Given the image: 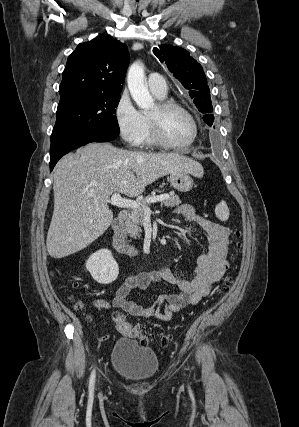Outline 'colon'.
I'll use <instances>...</instances> for the list:
<instances>
[{
  "mask_svg": "<svg viewBox=\"0 0 299 427\" xmlns=\"http://www.w3.org/2000/svg\"><path fill=\"white\" fill-rule=\"evenodd\" d=\"M232 280L229 278L226 280L224 287H223V293H227L231 288ZM78 284H74V287L76 288ZM74 306L77 309L82 308V303L77 300H73ZM114 323L115 328L118 332L127 335L132 338L138 339L141 343L145 344L148 343L151 340V336L146 334L145 332L141 331L138 327L134 326L129 320H127L124 316L120 314H115L114 316ZM168 343L167 338H163L161 340V345L166 346Z\"/></svg>",
  "mask_w": 299,
  "mask_h": 427,
  "instance_id": "obj_1",
  "label": "colon"
}]
</instances>
